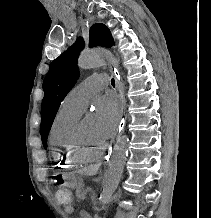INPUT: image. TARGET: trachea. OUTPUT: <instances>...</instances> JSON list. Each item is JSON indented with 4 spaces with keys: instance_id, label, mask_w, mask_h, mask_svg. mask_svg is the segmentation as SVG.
<instances>
[{
    "instance_id": "3493384b",
    "label": "trachea",
    "mask_w": 211,
    "mask_h": 218,
    "mask_svg": "<svg viewBox=\"0 0 211 218\" xmlns=\"http://www.w3.org/2000/svg\"><path fill=\"white\" fill-rule=\"evenodd\" d=\"M111 84H112L113 87H115V80H114V78L111 79Z\"/></svg>"
}]
</instances>
